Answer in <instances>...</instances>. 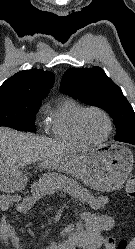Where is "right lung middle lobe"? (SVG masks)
Segmentation results:
<instances>
[{
  "label": "right lung middle lobe",
  "mask_w": 135,
  "mask_h": 249,
  "mask_svg": "<svg viewBox=\"0 0 135 249\" xmlns=\"http://www.w3.org/2000/svg\"><path fill=\"white\" fill-rule=\"evenodd\" d=\"M41 101L17 96L0 95V126L18 131L36 132L34 119Z\"/></svg>",
  "instance_id": "obj_1"
}]
</instances>
